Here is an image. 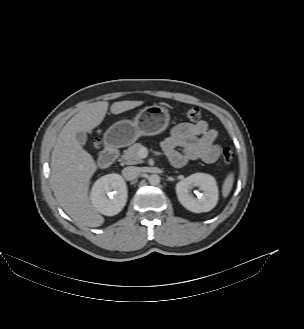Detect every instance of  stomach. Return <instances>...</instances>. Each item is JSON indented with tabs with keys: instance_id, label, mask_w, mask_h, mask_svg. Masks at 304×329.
Listing matches in <instances>:
<instances>
[{
	"instance_id": "0dacf381",
	"label": "stomach",
	"mask_w": 304,
	"mask_h": 329,
	"mask_svg": "<svg viewBox=\"0 0 304 329\" xmlns=\"http://www.w3.org/2000/svg\"><path fill=\"white\" fill-rule=\"evenodd\" d=\"M168 111L159 105L147 106L133 121L121 120L114 123L104 134L107 147H125L141 136H153L163 132L169 125Z\"/></svg>"
}]
</instances>
